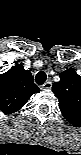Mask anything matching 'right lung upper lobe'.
Wrapping results in <instances>:
<instances>
[{"mask_svg": "<svg viewBox=\"0 0 81 155\" xmlns=\"http://www.w3.org/2000/svg\"><path fill=\"white\" fill-rule=\"evenodd\" d=\"M40 89L34 84L30 71L16 64L0 75V110L12 114L21 109Z\"/></svg>", "mask_w": 81, "mask_h": 155, "instance_id": "cb5924a9", "label": "right lung upper lobe"}]
</instances>
